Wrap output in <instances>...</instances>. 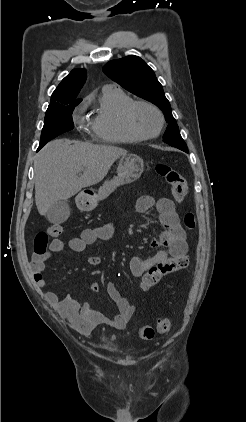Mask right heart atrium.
Masks as SVG:
<instances>
[{"label":"right heart atrium","mask_w":246,"mask_h":422,"mask_svg":"<svg viewBox=\"0 0 246 422\" xmlns=\"http://www.w3.org/2000/svg\"><path fill=\"white\" fill-rule=\"evenodd\" d=\"M83 109V105L78 107L74 114V121L79 127L86 129L91 125V122L82 116Z\"/></svg>","instance_id":"obj_1"}]
</instances>
